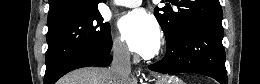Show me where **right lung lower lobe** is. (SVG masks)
Returning a JSON list of instances; mask_svg holds the SVG:
<instances>
[{"label": "right lung lower lobe", "mask_w": 260, "mask_h": 84, "mask_svg": "<svg viewBox=\"0 0 260 84\" xmlns=\"http://www.w3.org/2000/svg\"><path fill=\"white\" fill-rule=\"evenodd\" d=\"M112 61L110 53L97 51H83L70 55L63 59L52 71L46 72L44 84H54L66 73L87 66L105 67Z\"/></svg>", "instance_id": "obj_1"}]
</instances>
